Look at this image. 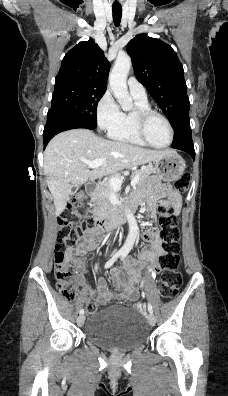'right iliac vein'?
<instances>
[{
  "instance_id": "63e3f726",
  "label": "right iliac vein",
  "mask_w": 228,
  "mask_h": 396,
  "mask_svg": "<svg viewBox=\"0 0 228 396\" xmlns=\"http://www.w3.org/2000/svg\"><path fill=\"white\" fill-rule=\"evenodd\" d=\"M85 322V316L84 315H80L77 319V323L79 326H82Z\"/></svg>"
}]
</instances>
